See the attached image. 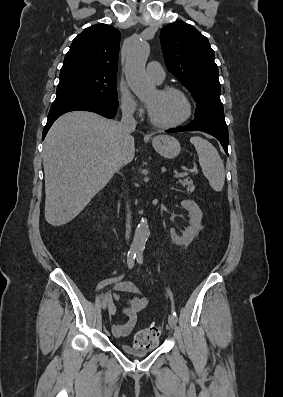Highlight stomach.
Instances as JSON below:
<instances>
[{
    "label": "stomach",
    "instance_id": "0dacf381",
    "mask_svg": "<svg viewBox=\"0 0 283 397\" xmlns=\"http://www.w3.org/2000/svg\"><path fill=\"white\" fill-rule=\"evenodd\" d=\"M154 149L164 158L174 159L181 151L180 143L170 135H158L152 139Z\"/></svg>",
    "mask_w": 283,
    "mask_h": 397
}]
</instances>
